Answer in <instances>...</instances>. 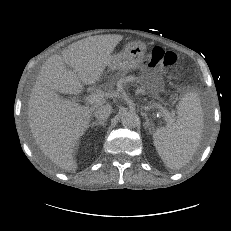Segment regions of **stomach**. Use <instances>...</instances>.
I'll list each match as a JSON object with an SVG mask.
<instances>
[{"instance_id": "obj_1", "label": "stomach", "mask_w": 231, "mask_h": 231, "mask_svg": "<svg viewBox=\"0 0 231 231\" xmlns=\"http://www.w3.org/2000/svg\"><path fill=\"white\" fill-rule=\"evenodd\" d=\"M147 47L142 41H131L127 43L124 49L111 57L108 65V71H119L125 74L133 69L138 68L142 62ZM143 87L153 96L163 88V79L158 74H146L140 78Z\"/></svg>"}]
</instances>
